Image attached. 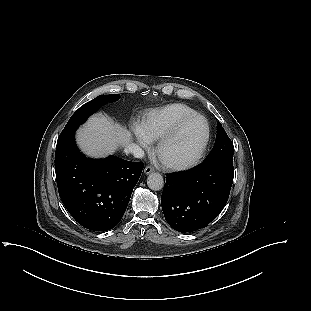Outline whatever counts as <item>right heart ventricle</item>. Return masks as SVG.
Here are the masks:
<instances>
[{
    "instance_id": "1",
    "label": "right heart ventricle",
    "mask_w": 311,
    "mask_h": 311,
    "mask_svg": "<svg viewBox=\"0 0 311 311\" xmlns=\"http://www.w3.org/2000/svg\"><path fill=\"white\" fill-rule=\"evenodd\" d=\"M194 113L196 111L185 104H169L149 111L142 121L141 129L150 141H157L181 119Z\"/></svg>"
}]
</instances>
